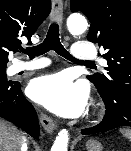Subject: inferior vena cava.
Masks as SVG:
<instances>
[{
    "mask_svg": "<svg viewBox=\"0 0 131 151\" xmlns=\"http://www.w3.org/2000/svg\"><path fill=\"white\" fill-rule=\"evenodd\" d=\"M19 151H27V139L25 136H22V141Z\"/></svg>",
    "mask_w": 131,
    "mask_h": 151,
    "instance_id": "obj_1",
    "label": "inferior vena cava"
}]
</instances>
